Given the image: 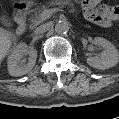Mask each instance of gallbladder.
<instances>
[{
	"mask_svg": "<svg viewBox=\"0 0 119 119\" xmlns=\"http://www.w3.org/2000/svg\"><path fill=\"white\" fill-rule=\"evenodd\" d=\"M2 23H3V25L6 26V27H9V26H10V23H9V20H8V19L2 20Z\"/></svg>",
	"mask_w": 119,
	"mask_h": 119,
	"instance_id": "gallbladder-1",
	"label": "gallbladder"
}]
</instances>
